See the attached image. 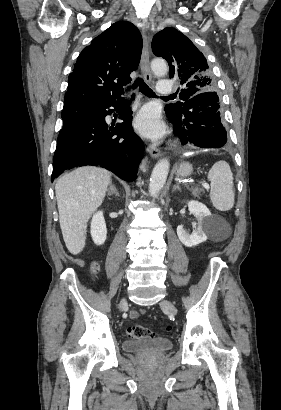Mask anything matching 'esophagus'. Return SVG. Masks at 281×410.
<instances>
[{
  "mask_svg": "<svg viewBox=\"0 0 281 410\" xmlns=\"http://www.w3.org/2000/svg\"><path fill=\"white\" fill-rule=\"evenodd\" d=\"M142 36H143V48H142V55L140 61V68L141 73L146 82H151L152 75L149 66V43L148 37L146 35L145 29L142 28ZM148 152L153 158H158L161 155V151L156 146H149Z\"/></svg>",
  "mask_w": 281,
  "mask_h": 410,
  "instance_id": "esophagus-1",
  "label": "esophagus"
}]
</instances>
